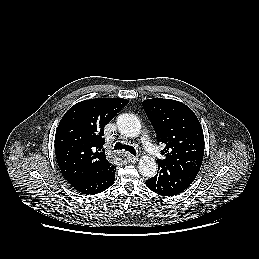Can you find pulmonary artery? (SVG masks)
Here are the masks:
<instances>
[{
  "instance_id": "obj_1",
  "label": "pulmonary artery",
  "mask_w": 259,
  "mask_h": 259,
  "mask_svg": "<svg viewBox=\"0 0 259 259\" xmlns=\"http://www.w3.org/2000/svg\"><path fill=\"white\" fill-rule=\"evenodd\" d=\"M141 143L149 154L151 155L157 154L158 152L157 148L152 144V142L150 141L149 137L146 134L141 136Z\"/></svg>"
}]
</instances>
